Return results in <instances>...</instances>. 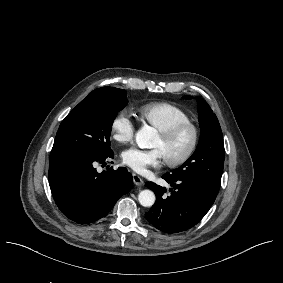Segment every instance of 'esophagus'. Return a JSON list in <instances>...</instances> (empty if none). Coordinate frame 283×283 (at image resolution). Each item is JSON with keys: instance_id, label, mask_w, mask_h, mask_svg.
Returning a JSON list of instances; mask_svg holds the SVG:
<instances>
[{"instance_id": "esophagus-1", "label": "esophagus", "mask_w": 283, "mask_h": 283, "mask_svg": "<svg viewBox=\"0 0 283 283\" xmlns=\"http://www.w3.org/2000/svg\"><path fill=\"white\" fill-rule=\"evenodd\" d=\"M132 176H133V183L135 185L142 186L144 184L143 179L139 175L132 173Z\"/></svg>"}]
</instances>
